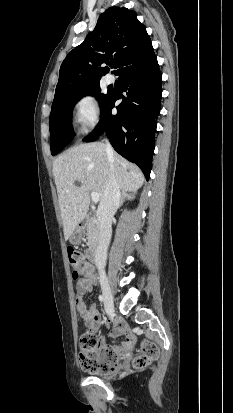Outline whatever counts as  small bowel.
<instances>
[{"instance_id":"1","label":"small bowel","mask_w":233,"mask_h":413,"mask_svg":"<svg viewBox=\"0 0 233 413\" xmlns=\"http://www.w3.org/2000/svg\"><path fill=\"white\" fill-rule=\"evenodd\" d=\"M94 283H95V279L93 277H91L87 281L78 282L77 284L78 293L75 296V303H76V308L79 313V316L83 320L84 325L93 332L97 331L98 328L100 327L102 316L95 305L88 306L85 303L84 295L91 293L93 291ZM122 333H125L128 335L127 341L125 342L124 345L118 348H114L106 344L105 337H100L98 338L99 343H100V348L101 349L110 348L113 351H115L117 355L126 353L132 344V337L129 334V328L121 319H114L113 329L108 334V337L116 338L120 336Z\"/></svg>"}]
</instances>
